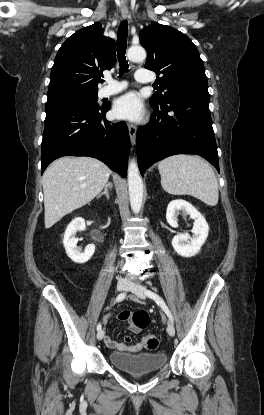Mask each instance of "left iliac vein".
I'll return each mask as SVG.
<instances>
[{
    "mask_svg": "<svg viewBox=\"0 0 264 415\" xmlns=\"http://www.w3.org/2000/svg\"><path fill=\"white\" fill-rule=\"evenodd\" d=\"M127 290L131 291L132 293H134L137 297L141 299L146 298L145 287L142 286L141 284L131 282L129 286L127 287ZM167 332L172 337L175 335V327L171 322H168L167 324Z\"/></svg>",
    "mask_w": 264,
    "mask_h": 415,
    "instance_id": "4c4485c4",
    "label": "left iliac vein"
}]
</instances>
